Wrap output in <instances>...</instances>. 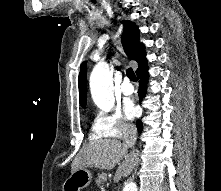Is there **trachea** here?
I'll return each mask as SVG.
<instances>
[{
	"label": "trachea",
	"mask_w": 221,
	"mask_h": 191,
	"mask_svg": "<svg viewBox=\"0 0 221 191\" xmlns=\"http://www.w3.org/2000/svg\"><path fill=\"white\" fill-rule=\"evenodd\" d=\"M126 74L131 81L136 82L138 80L132 68H128Z\"/></svg>",
	"instance_id": "obj_1"
}]
</instances>
